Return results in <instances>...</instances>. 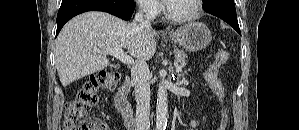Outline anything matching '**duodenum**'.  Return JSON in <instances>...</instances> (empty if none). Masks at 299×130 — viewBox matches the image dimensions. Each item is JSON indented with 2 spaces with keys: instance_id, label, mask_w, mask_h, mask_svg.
I'll list each match as a JSON object with an SVG mask.
<instances>
[{
  "instance_id": "410a0bca",
  "label": "duodenum",
  "mask_w": 299,
  "mask_h": 130,
  "mask_svg": "<svg viewBox=\"0 0 299 130\" xmlns=\"http://www.w3.org/2000/svg\"><path fill=\"white\" fill-rule=\"evenodd\" d=\"M131 89L130 79L127 78L115 96V106L119 113L125 118L126 127L129 130H134L135 118L133 109L128 101V95Z\"/></svg>"
}]
</instances>
